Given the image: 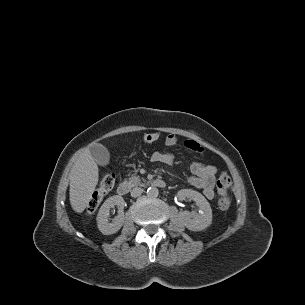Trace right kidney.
I'll return each mask as SVG.
<instances>
[{
	"instance_id": "right-kidney-1",
	"label": "right kidney",
	"mask_w": 305,
	"mask_h": 305,
	"mask_svg": "<svg viewBox=\"0 0 305 305\" xmlns=\"http://www.w3.org/2000/svg\"><path fill=\"white\" fill-rule=\"evenodd\" d=\"M117 206L119 208V214L113 219L111 223L108 221L110 214V208ZM125 206L124 199L115 195L106 199V201L101 206L97 214V226L100 232L104 235H110L118 232L124 224V213L123 208Z\"/></svg>"
}]
</instances>
